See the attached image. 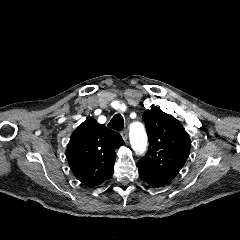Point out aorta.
Here are the masks:
<instances>
[{
  "mask_svg": "<svg viewBox=\"0 0 240 240\" xmlns=\"http://www.w3.org/2000/svg\"><path fill=\"white\" fill-rule=\"evenodd\" d=\"M131 146L136 154H143L147 149V136L144 126L135 122L130 126Z\"/></svg>",
  "mask_w": 240,
  "mask_h": 240,
  "instance_id": "762f6f07",
  "label": "aorta"
}]
</instances>
